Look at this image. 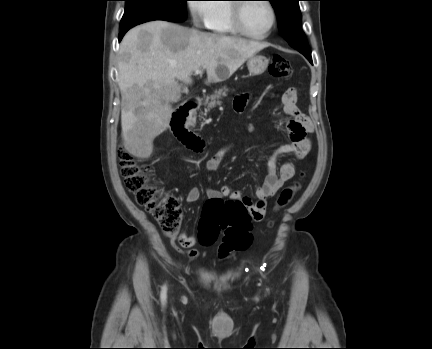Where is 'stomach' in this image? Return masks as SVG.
Listing matches in <instances>:
<instances>
[{
  "instance_id": "1",
  "label": "stomach",
  "mask_w": 432,
  "mask_h": 349,
  "mask_svg": "<svg viewBox=\"0 0 432 349\" xmlns=\"http://www.w3.org/2000/svg\"><path fill=\"white\" fill-rule=\"evenodd\" d=\"M269 59L263 55H253L247 61V67L252 75L262 74L268 67Z\"/></svg>"
}]
</instances>
